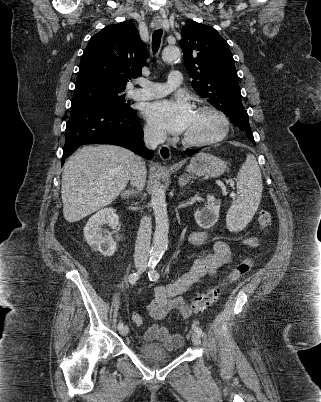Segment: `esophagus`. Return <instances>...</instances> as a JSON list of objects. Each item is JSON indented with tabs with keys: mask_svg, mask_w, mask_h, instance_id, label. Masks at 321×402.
<instances>
[{
	"mask_svg": "<svg viewBox=\"0 0 321 402\" xmlns=\"http://www.w3.org/2000/svg\"><path fill=\"white\" fill-rule=\"evenodd\" d=\"M162 23L161 20H156V25L160 26ZM158 153L162 160L167 161L171 158V151L169 146L163 144L158 147Z\"/></svg>",
	"mask_w": 321,
	"mask_h": 402,
	"instance_id": "1",
	"label": "esophagus"
}]
</instances>
